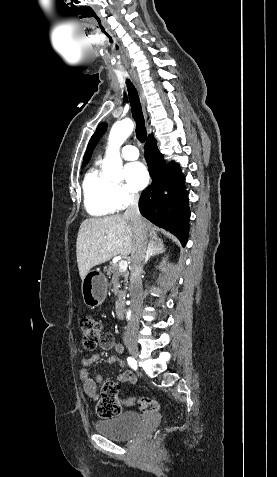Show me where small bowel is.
<instances>
[{
	"instance_id": "1",
	"label": "small bowel",
	"mask_w": 277,
	"mask_h": 477,
	"mask_svg": "<svg viewBox=\"0 0 277 477\" xmlns=\"http://www.w3.org/2000/svg\"><path fill=\"white\" fill-rule=\"evenodd\" d=\"M99 347L101 350H110L114 349L118 354L123 352V346L117 342L111 334H106L100 341ZM100 359L99 354H93L90 357L84 358L82 360L83 368L80 371V380L82 382V387L86 395L93 399H97V384L103 382V376L101 374H96L94 378H92L89 374L90 367L96 363ZM105 363L113 364L119 363L123 365V362L120 358L116 355H111L105 359ZM117 379L119 381H126L130 384H135L137 381V377L134 373L130 371L121 372ZM125 405H132L133 399L127 398L124 400Z\"/></svg>"
}]
</instances>
